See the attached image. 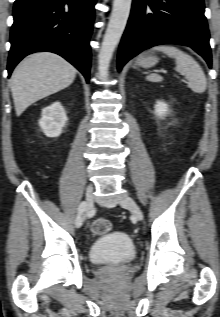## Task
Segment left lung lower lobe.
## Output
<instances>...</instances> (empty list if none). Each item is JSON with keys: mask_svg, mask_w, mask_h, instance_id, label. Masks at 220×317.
<instances>
[{"mask_svg": "<svg viewBox=\"0 0 220 317\" xmlns=\"http://www.w3.org/2000/svg\"><path fill=\"white\" fill-rule=\"evenodd\" d=\"M203 0H133L121 40L118 70L138 53L160 44L193 48L212 66Z\"/></svg>", "mask_w": 220, "mask_h": 317, "instance_id": "left-lung-lower-lobe-1", "label": "left lung lower lobe"}]
</instances>
